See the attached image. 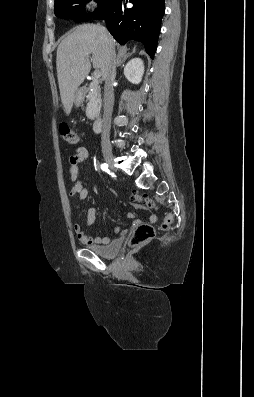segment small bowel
Wrapping results in <instances>:
<instances>
[{
  "mask_svg": "<svg viewBox=\"0 0 254 397\" xmlns=\"http://www.w3.org/2000/svg\"><path fill=\"white\" fill-rule=\"evenodd\" d=\"M89 157V151L85 147H78L74 154L69 158V175L70 179L73 182V186L70 190L71 197H77L79 200H84L88 197L89 190L87 185L80 178V169L79 165L86 161ZM96 210L94 208H90L87 212V220L86 223L88 226H91L95 222ZM128 218H134V215L130 212L127 213ZM157 217L155 215L149 216V221L151 223L156 222ZM141 223L140 220H135L133 225L137 226ZM73 230L78 238V240L85 245L93 246V245H101L108 244L110 239L108 237H91L88 236L82 229L81 225L75 223L73 225ZM118 231V229H117ZM126 230L122 231V234H126Z\"/></svg>",
  "mask_w": 254,
  "mask_h": 397,
  "instance_id": "obj_1",
  "label": "small bowel"
}]
</instances>
